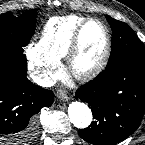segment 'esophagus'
Returning a JSON list of instances; mask_svg holds the SVG:
<instances>
[{
    "instance_id": "34e87169",
    "label": "esophagus",
    "mask_w": 145,
    "mask_h": 145,
    "mask_svg": "<svg viewBox=\"0 0 145 145\" xmlns=\"http://www.w3.org/2000/svg\"><path fill=\"white\" fill-rule=\"evenodd\" d=\"M63 101H69L70 97L65 93V91L60 90L57 95Z\"/></svg>"
}]
</instances>
